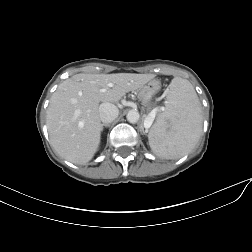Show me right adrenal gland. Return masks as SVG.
<instances>
[{"mask_svg": "<svg viewBox=\"0 0 252 252\" xmlns=\"http://www.w3.org/2000/svg\"><path fill=\"white\" fill-rule=\"evenodd\" d=\"M110 124H107V123H104V124H101V131L103 130V127H109Z\"/></svg>", "mask_w": 252, "mask_h": 252, "instance_id": "1", "label": "right adrenal gland"}]
</instances>
